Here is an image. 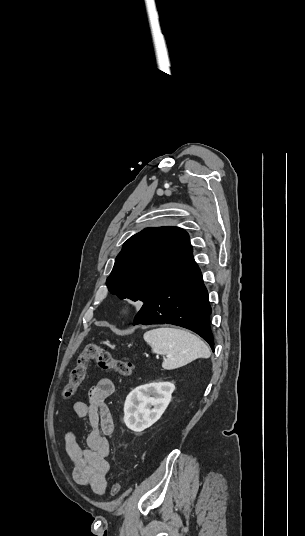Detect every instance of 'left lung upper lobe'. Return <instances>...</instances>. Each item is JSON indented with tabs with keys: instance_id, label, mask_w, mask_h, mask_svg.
Instances as JSON below:
<instances>
[{
	"instance_id": "5c2ea615",
	"label": "left lung upper lobe",
	"mask_w": 305,
	"mask_h": 536,
	"mask_svg": "<svg viewBox=\"0 0 305 536\" xmlns=\"http://www.w3.org/2000/svg\"><path fill=\"white\" fill-rule=\"evenodd\" d=\"M194 262L185 230L150 227L124 243L106 284L121 299L145 303Z\"/></svg>"
}]
</instances>
